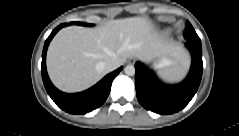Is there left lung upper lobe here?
I'll list each match as a JSON object with an SVG mask.
<instances>
[{
	"label": "left lung upper lobe",
	"instance_id": "5c2ea615",
	"mask_svg": "<svg viewBox=\"0 0 239 136\" xmlns=\"http://www.w3.org/2000/svg\"><path fill=\"white\" fill-rule=\"evenodd\" d=\"M183 36L188 42H194V43H197V44H201L200 38L198 37L194 28L192 27V25L188 21L186 22V28H185V31L183 33Z\"/></svg>",
	"mask_w": 239,
	"mask_h": 136
}]
</instances>
